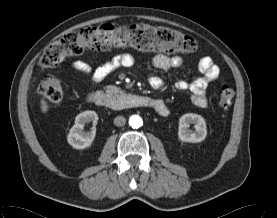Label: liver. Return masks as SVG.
Listing matches in <instances>:
<instances>
[{"label": "liver", "instance_id": "liver-1", "mask_svg": "<svg viewBox=\"0 0 277 218\" xmlns=\"http://www.w3.org/2000/svg\"><path fill=\"white\" fill-rule=\"evenodd\" d=\"M40 104H41V106H40L41 111H42L43 113H47L48 110H49V106H48L47 102L42 98V99L40 100Z\"/></svg>", "mask_w": 277, "mask_h": 218}]
</instances>
